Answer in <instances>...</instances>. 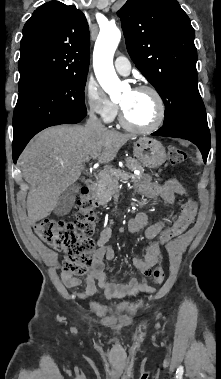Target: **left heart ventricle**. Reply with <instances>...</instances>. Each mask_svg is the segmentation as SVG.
I'll return each instance as SVG.
<instances>
[{"instance_id":"left-heart-ventricle-1","label":"left heart ventricle","mask_w":221,"mask_h":379,"mask_svg":"<svg viewBox=\"0 0 221 379\" xmlns=\"http://www.w3.org/2000/svg\"><path fill=\"white\" fill-rule=\"evenodd\" d=\"M127 119L138 126L150 125L157 114L154 97L147 92H126L120 100Z\"/></svg>"}]
</instances>
